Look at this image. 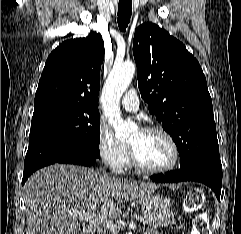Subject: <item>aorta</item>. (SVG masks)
<instances>
[{
	"label": "aorta",
	"instance_id": "762f6f07",
	"mask_svg": "<svg viewBox=\"0 0 241 234\" xmlns=\"http://www.w3.org/2000/svg\"><path fill=\"white\" fill-rule=\"evenodd\" d=\"M135 69L132 62L114 65L102 92L104 114L118 139L129 138L136 129L133 122H127L121 117L119 109L120 98L131 83Z\"/></svg>",
	"mask_w": 241,
	"mask_h": 234
}]
</instances>
